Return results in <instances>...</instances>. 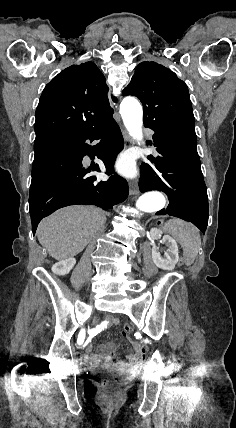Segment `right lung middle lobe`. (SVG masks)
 Here are the masks:
<instances>
[{
    "instance_id": "dd1d6c3e",
    "label": "right lung middle lobe",
    "mask_w": 236,
    "mask_h": 428,
    "mask_svg": "<svg viewBox=\"0 0 236 428\" xmlns=\"http://www.w3.org/2000/svg\"><path fill=\"white\" fill-rule=\"evenodd\" d=\"M49 146H50V142H43V143L34 144L35 154H38V153L48 149Z\"/></svg>"
}]
</instances>
